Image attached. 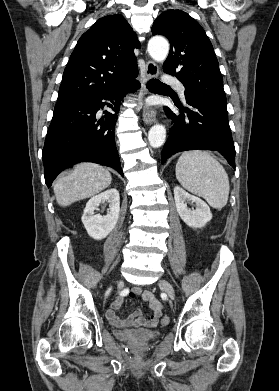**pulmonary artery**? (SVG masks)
<instances>
[{
	"label": "pulmonary artery",
	"mask_w": 279,
	"mask_h": 391,
	"mask_svg": "<svg viewBox=\"0 0 279 391\" xmlns=\"http://www.w3.org/2000/svg\"><path fill=\"white\" fill-rule=\"evenodd\" d=\"M163 80L168 84L174 85L176 87V89L178 90V92L180 93V95L182 97H184L185 87L176 78H174L170 75H165Z\"/></svg>",
	"instance_id": "pulmonary-artery-1"
}]
</instances>
